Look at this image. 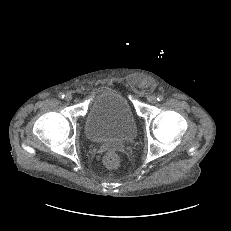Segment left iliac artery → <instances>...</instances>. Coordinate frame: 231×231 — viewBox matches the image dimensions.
I'll return each instance as SVG.
<instances>
[{"label": "left iliac artery", "instance_id": "44dca946", "mask_svg": "<svg viewBox=\"0 0 231 231\" xmlns=\"http://www.w3.org/2000/svg\"><path fill=\"white\" fill-rule=\"evenodd\" d=\"M163 99H164V97H163L162 95H159V96L157 97V100H158L159 102L163 101Z\"/></svg>", "mask_w": 231, "mask_h": 231}]
</instances>
